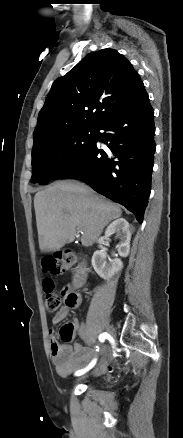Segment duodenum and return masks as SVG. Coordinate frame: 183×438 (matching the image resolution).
Segmentation results:
<instances>
[{
	"label": "duodenum",
	"mask_w": 183,
	"mask_h": 438,
	"mask_svg": "<svg viewBox=\"0 0 183 438\" xmlns=\"http://www.w3.org/2000/svg\"><path fill=\"white\" fill-rule=\"evenodd\" d=\"M86 272H87L86 263L82 262L76 270V274L74 278L75 284H80L84 280Z\"/></svg>",
	"instance_id": "1"
}]
</instances>
